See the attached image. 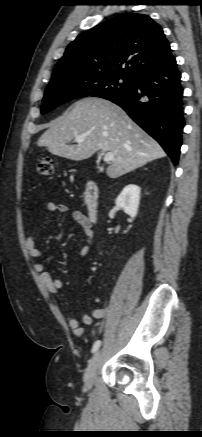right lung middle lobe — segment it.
Returning <instances> with one entry per match:
<instances>
[{"label": "right lung middle lobe", "mask_w": 202, "mask_h": 437, "mask_svg": "<svg viewBox=\"0 0 202 437\" xmlns=\"http://www.w3.org/2000/svg\"><path fill=\"white\" fill-rule=\"evenodd\" d=\"M133 81L134 77L121 73L72 76L52 80L45 90L41 113L45 114L77 97L97 96L108 99L128 91Z\"/></svg>", "instance_id": "obj_1"}]
</instances>
